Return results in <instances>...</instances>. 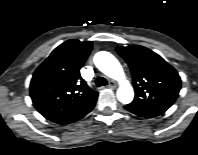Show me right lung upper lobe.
<instances>
[{
    "mask_svg": "<svg viewBox=\"0 0 198 155\" xmlns=\"http://www.w3.org/2000/svg\"><path fill=\"white\" fill-rule=\"evenodd\" d=\"M91 49L90 41L68 40L59 45L34 72L30 96L35 108L46 119L65 116L98 96L80 75Z\"/></svg>",
    "mask_w": 198,
    "mask_h": 155,
    "instance_id": "cb5924a9",
    "label": "right lung upper lobe"
}]
</instances>
